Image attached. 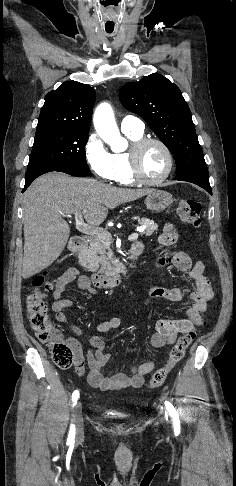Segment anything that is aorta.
<instances>
[{
  "label": "aorta",
  "mask_w": 236,
  "mask_h": 486,
  "mask_svg": "<svg viewBox=\"0 0 236 486\" xmlns=\"http://www.w3.org/2000/svg\"><path fill=\"white\" fill-rule=\"evenodd\" d=\"M94 126L98 135L110 145L114 152L124 151L127 141L121 137L112 108L109 104L99 105L94 113Z\"/></svg>",
  "instance_id": "obj_1"
}]
</instances>
